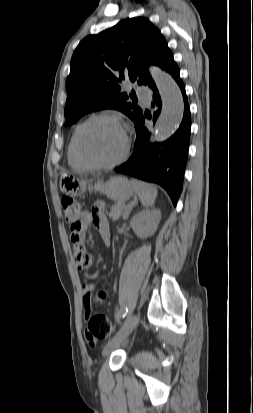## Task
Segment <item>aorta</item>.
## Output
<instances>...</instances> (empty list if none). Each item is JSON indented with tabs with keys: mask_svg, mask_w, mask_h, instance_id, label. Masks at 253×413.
Here are the masks:
<instances>
[{
	"mask_svg": "<svg viewBox=\"0 0 253 413\" xmlns=\"http://www.w3.org/2000/svg\"><path fill=\"white\" fill-rule=\"evenodd\" d=\"M151 74L162 99V111L152 140L163 142L179 128L184 114V102L178 85L169 74L156 68L151 69Z\"/></svg>",
	"mask_w": 253,
	"mask_h": 413,
	"instance_id": "1",
	"label": "aorta"
}]
</instances>
